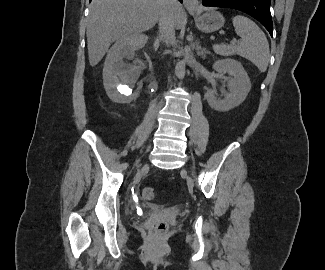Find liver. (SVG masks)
I'll return each mask as SVG.
<instances>
[{"instance_id":"obj_1","label":"liver","mask_w":325,"mask_h":270,"mask_svg":"<svg viewBox=\"0 0 325 270\" xmlns=\"http://www.w3.org/2000/svg\"><path fill=\"white\" fill-rule=\"evenodd\" d=\"M161 10L162 0H93L86 29L90 65H97L115 41L143 45L136 40L157 23ZM171 12L175 27L181 28L186 22L183 7L177 2Z\"/></svg>"}]
</instances>
